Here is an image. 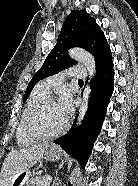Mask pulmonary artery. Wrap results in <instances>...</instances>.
Segmentation results:
<instances>
[{"instance_id": "pulmonary-artery-1", "label": "pulmonary artery", "mask_w": 138, "mask_h": 186, "mask_svg": "<svg viewBox=\"0 0 138 186\" xmlns=\"http://www.w3.org/2000/svg\"><path fill=\"white\" fill-rule=\"evenodd\" d=\"M86 75L87 72L84 66H73L65 71L44 79L41 82V86L47 93H50L53 88L60 85L66 78L71 77L82 79L85 78Z\"/></svg>"}]
</instances>
